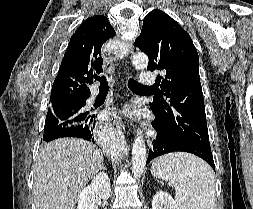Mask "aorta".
Returning <instances> with one entry per match:
<instances>
[{
  "label": "aorta",
  "mask_w": 253,
  "mask_h": 209,
  "mask_svg": "<svg viewBox=\"0 0 253 209\" xmlns=\"http://www.w3.org/2000/svg\"><path fill=\"white\" fill-rule=\"evenodd\" d=\"M132 64L136 69L143 70L148 65V57L143 53H137L133 56ZM112 148L114 151H117L115 145H113ZM146 157L147 150L145 140L142 132L138 131L132 149V174L136 179L141 178L144 173Z\"/></svg>",
  "instance_id": "obj_1"
}]
</instances>
